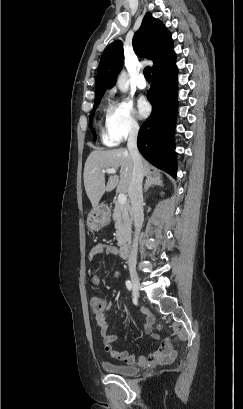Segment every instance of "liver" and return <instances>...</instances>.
Returning <instances> with one entry per match:
<instances>
[{
  "mask_svg": "<svg viewBox=\"0 0 243 409\" xmlns=\"http://www.w3.org/2000/svg\"><path fill=\"white\" fill-rule=\"evenodd\" d=\"M144 175L151 173L150 165L142 159ZM108 168H120V176L112 175L105 182ZM133 171L132 157L127 149L94 150L88 156L84 167V187L86 194L95 208L106 191L116 188L118 193L128 192Z\"/></svg>",
  "mask_w": 243,
  "mask_h": 409,
  "instance_id": "1",
  "label": "liver"
}]
</instances>
